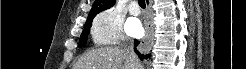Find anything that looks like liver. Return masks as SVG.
<instances>
[{"label":"liver","mask_w":246,"mask_h":69,"mask_svg":"<svg viewBox=\"0 0 246 69\" xmlns=\"http://www.w3.org/2000/svg\"><path fill=\"white\" fill-rule=\"evenodd\" d=\"M75 67L76 69H93V67L95 69H143L140 62L134 66L129 59L128 51L117 46L90 50L80 58Z\"/></svg>","instance_id":"liver-1"}]
</instances>
